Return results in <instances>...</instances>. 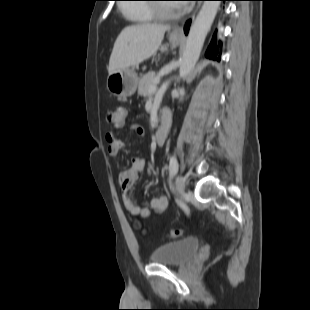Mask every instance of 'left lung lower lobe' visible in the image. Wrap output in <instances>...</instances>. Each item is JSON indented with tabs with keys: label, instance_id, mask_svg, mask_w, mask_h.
<instances>
[{
	"label": "left lung lower lobe",
	"instance_id": "obj_1",
	"mask_svg": "<svg viewBox=\"0 0 310 310\" xmlns=\"http://www.w3.org/2000/svg\"><path fill=\"white\" fill-rule=\"evenodd\" d=\"M221 1H228V0H221ZM189 24H190V21H188L186 26H185V33H187V31H188ZM219 45L221 46V42H219ZM218 52H219V48L217 47V44H216V34H215L212 41H211V44L207 50L206 56L208 58L219 61L220 56L218 57Z\"/></svg>",
	"mask_w": 310,
	"mask_h": 310
}]
</instances>
